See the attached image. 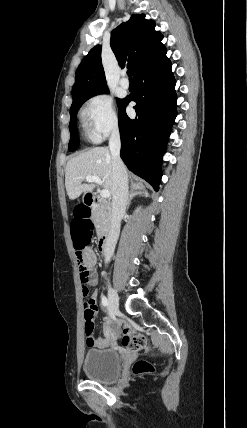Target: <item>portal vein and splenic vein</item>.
I'll list each match as a JSON object with an SVG mask.
<instances>
[{
    "label": "portal vein and splenic vein",
    "mask_w": 247,
    "mask_h": 428,
    "mask_svg": "<svg viewBox=\"0 0 247 428\" xmlns=\"http://www.w3.org/2000/svg\"><path fill=\"white\" fill-rule=\"evenodd\" d=\"M85 179L87 182H95L98 185H102V180L98 176H86ZM100 195L102 198H108L110 196V191L103 189Z\"/></svg>",
    "instance_id": "1"
}]
</instances>
